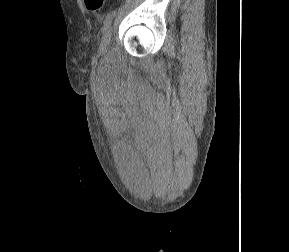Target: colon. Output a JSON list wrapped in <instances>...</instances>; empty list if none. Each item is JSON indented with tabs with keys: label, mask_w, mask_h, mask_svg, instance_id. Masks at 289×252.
Wrapping results in <instances>:
<instances>
[{
	"label": "colon",
	"mask_w": 289,
	"mask_h": 252,
	"mask_svg": "<svg viewBox=\"0 0 289 252\" xmlns=\"http://www.w3.org/2000/svg\"><path fill=\"white\" fill-rule=\"evenodd\" d=\"M84 4L88 11L98 15L104 9L105 0H84Z\"/></svg>",
	"instance_id": "5ec220e1"
}]
</instances>
